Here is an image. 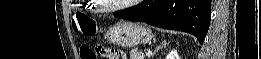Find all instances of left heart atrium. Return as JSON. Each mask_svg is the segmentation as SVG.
<instances>
[{
  "mask_svg": "<svg viewBox=\"0 0 261 59\" xmlns=\"http://www.w3.org/2000/svg\"><path fill=\"white\" fill-rule=\"evenodd\" d=\"M128 2H131V3H133V2H137V1H128Z\"/></svg>",
  "mask_w": 261,
  "mask_h": 59,
  "instance_id": "39dd6f15",
  "label": "left heart atrium"
}]
</instances>
